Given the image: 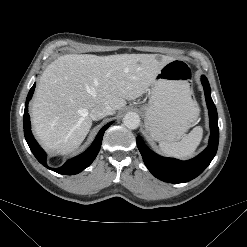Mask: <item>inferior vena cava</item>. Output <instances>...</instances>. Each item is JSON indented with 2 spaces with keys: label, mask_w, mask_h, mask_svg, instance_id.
Segmentation results:
<instances>
[{
  "label": "inferior vena cava",
  "mask_w": 247,
  "mask_h": 247,
  "mask_svg": "<svg viewBox=\"0 0 247 247\" xmlns=\"http://www.w3.org/2000/svg\"><path fill=\"white\" fill-rule=\"evenodd\" d=\"M115 110L110 105H98L94 107L90 112V117L93 120H100L107 115L114 114Z\"/></svg>",
  "instance_id": "obj_1"
}]
</instances>
